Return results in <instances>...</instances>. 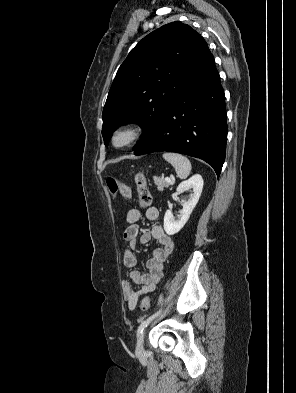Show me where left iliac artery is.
<instances>
[{
  "instance_id": "1",
  "label": "left iliac artery",
  "mask_w": 296,
  "mask_h": 393,
  "mask_svg": "<svg viewBox=\"0 0 296 393\" xmlns=\"http://www.w3.org/2000/svg\"><path fill=\"white\" fill-rule=\"evenodd\" d=\"M161 310L157 311L156 313H154L153 315H151L150 317H148L146 320H144L140 326L138 327L137 330V337H139V335L143 332L144 328L147 327V325L156 317L160 314Z\"/></svg>"
}]
</instances>
